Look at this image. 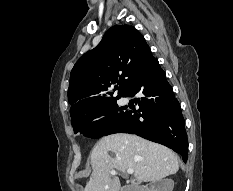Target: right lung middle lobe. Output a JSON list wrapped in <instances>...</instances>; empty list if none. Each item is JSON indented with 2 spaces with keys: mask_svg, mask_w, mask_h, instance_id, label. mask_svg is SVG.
Returning <instances> with one entry per match:
<instances>
[{
  "mask_svg": "<svg viewBox=\"0 0 233 191\" xmlns=\"http://www.w3.org/2000/svg\"><path fill=\"white\" fill-rule=\"evenodd\" d=\"M124 114L114 99L71 117L72 126L75 133L81 132L88 138H99L104 136Z\"/></svg>",
  "mask_w": 233,
  "mask_h": 191,
  "instance_id": "right-lung-middle-lobe-1",
  "label": "right lung middle lobe"
}]
</instances>
